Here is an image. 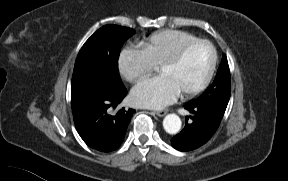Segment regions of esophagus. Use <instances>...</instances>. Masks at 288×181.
Returning a JSON list of instances; mask_svg holds the SVG:
<instances>
[{
	"instance_id": "34e87169",
	"label": "esophagus",
	"mask_w": 288,
	"mask_h": 181,
	"mask_svg": "<svg viewBox=\"0 0 288 181\" xmlns=\"http://www.w3.org/2000/svg\"><path fill=\"white\" fill-rule=\"evenodd\" d=\"M154 113L159 117H163L166 115L167 112L164 110H161V111H154Z\"/></svg>"
}]
</instances>
